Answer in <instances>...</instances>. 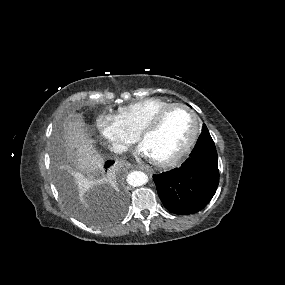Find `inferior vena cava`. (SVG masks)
Segmentation results:
<instances>
[{
  "instance_id": "obj_1",
  "label": "inferior vena cava",
  "mask_w": 285,
  "mask_h": 285,
  "mask_svg": "<svg viewBox=\"0 0 285 285\" xmlns=\"http://www.w3.org/2000/svg\"><path fill=\"white\" fill-rule=\"evenodd\" d=\"M111 151L115 153H123L127 150V147L119 142H113L112 145L110 146Z\"/></svg>"
}]
</instances>
